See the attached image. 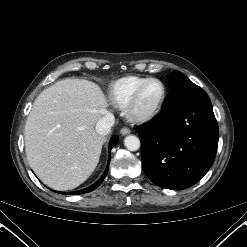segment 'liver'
Returning <instances> with one entry per match:
<instances>
[{"label":"liver","instance_id":"1","mask_svg":"<svg viewBox=\"0 0 247 247\" xmlns=\"http://www.w3.org/2000/svg\"><path fill=\"white\" fill-rule=\"evenodd\" d=\"M106 107L101 88L81 79L58 81L37 97L25 125V150L44 184L65 191L88 179L104 143L95 125Z\"/></svg>","mask_w":247,"mask_h":247}]
</instances>
